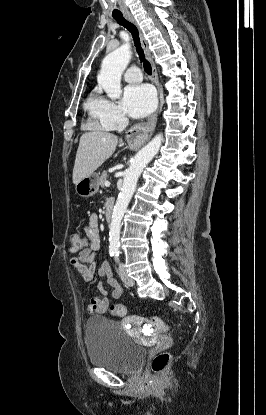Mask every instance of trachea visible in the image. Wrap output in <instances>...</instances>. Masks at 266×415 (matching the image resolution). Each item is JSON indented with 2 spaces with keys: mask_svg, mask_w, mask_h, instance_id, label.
Wrapping results in <instances>:
<instances>
[{
  "mask_svg": "<svg viewBox=\"0 0 266 415\" xmlns=\"http://www.w3.org/2000/svg\"><path fill=\"white\" fill-rule=\"evenodd\" d=\"M113 18L117 21V23L119 25H122L124 28H126L132 34L133 39H134V43H135V46H136V50L138 52V55H139L140 59L143 61V66H144L145 72L148 75H150L152 73V67H151V64L145 59L143 49L141 48V44H140V40H139V33H138L137 27L133 23L127 21L123 17L122 14L121 15H113Z\"/></svg>",
  "mask_w": 266,
  "mask_h": 415,
  "instance_id": "obj_1",
  "label": "trachea"
}]
</instances>
